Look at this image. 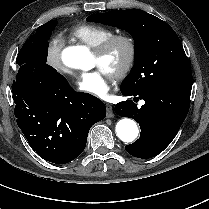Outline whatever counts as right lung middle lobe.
<instances>
[{
  "instance_id": "right-lung-middle-lobe-1",
  "label": "right lung middle lobe",
  "mask_w": 209,
  "mask_h": 209,
  "mask_svg": "<svg viewBox=\"0 0 209 209\" xmlns=\"http://www.w3.org/2000/svg\"><path fill=\"white\" fill-rule=\"evenodd\" d=\"M57 21L46 29H38L35 35H32L20 49L16 59L18 65L32 64L45 65L48 55V42L52 30L56 26Z\"/></svg>"
}]
</instances>
